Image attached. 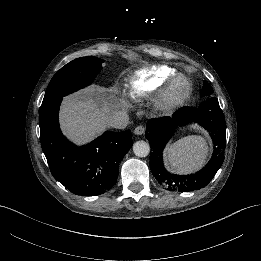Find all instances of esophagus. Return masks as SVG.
<instances>
[{
  "label": "esophagus",
  "mask_w": 261,
  "mask_h": 261,
  "mask_svg": "<svg viewBox=\"0 0 261 261\" xmlns=\"http://www.w3.org/2000/svg\"><path fill=\"white\" fill-rule=\"evenodd\" d=\"M144 132H145V127L142 126V125H139V126H137V127L134 129V134H135V135H142V134H144Z\"/></svg>",
  "instance_id": "esophagus-1"
}]
</instances>
